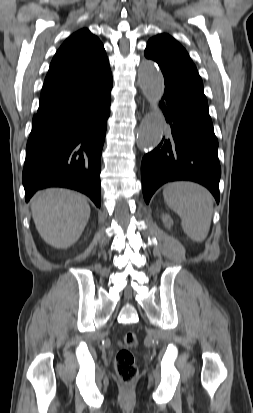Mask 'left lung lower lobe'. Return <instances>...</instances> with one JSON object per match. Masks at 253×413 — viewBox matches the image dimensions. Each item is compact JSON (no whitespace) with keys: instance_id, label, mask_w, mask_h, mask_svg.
I'll return each instance as SVG.
<instances>
[{"instance_id":"1","label":"left lung lower lobe","mask_w":253,"mask_h":413,"mask_svg":"<svg viewBox=\"0 0 253 413\" xmlns=\"http://www.w3.org/2000/svg\"><path fill=\"white\" fill-rule=\"evenodd\" d=\"M164 82L165 93L159 106L170 127L157 148L142 159L144 199L149 203L164 183L190 180L207 187L219 203L218 141L203 85L166 74Z\"/></svg>"}]
</instances>
